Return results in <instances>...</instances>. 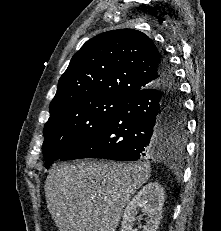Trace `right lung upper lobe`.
I'll use <instances>...</instances> for the list:
<instances>
[{"mask_svg":"<svg viewBox=\"0 0 221 231\" xmlns=\"http://www.w3.org/2000/svg\"><path fill=\"white\" fill-rule=\"evenodd\" d=\"M162 59L154 42L138 30L99 34L72 57L59 79L50 115L85 97L111 95L127 99L158 83Z\"/></svg>","mask_w":221,"mask_h":231,"instance_id":"cb5924a9","label":"right lung upper lobe"}]
</instances>
